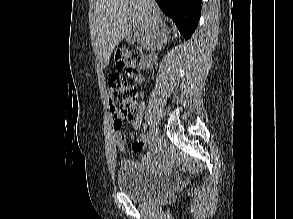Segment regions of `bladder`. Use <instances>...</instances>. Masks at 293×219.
<instances>
[{
    "label": "bladder",
    "mask_w": 293,
    "mask_h": 219,
    "mask_svg": "<svg viewBox=\"0 0 293 219\" xmlns=\"http://www.w3.org/2000/svg\"><path fill=\"white\" fill-rule=\"evenodd\" d=\"M116 185L132 200H141L164 190L168 186V178L143 167L131 166L117 172Z\"/></svg>",
    "instance_id": "31cf9c89"
}]
</instances>
